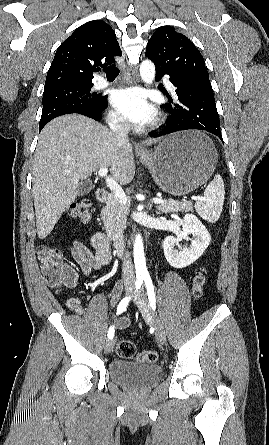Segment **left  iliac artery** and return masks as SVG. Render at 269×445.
I'll list each match as a JSON object with an SVG mask.
<instances>
[{"label":"left iliac artery","mask_w":269,"mask_h":445,"mask_svg":"<svg viewBox=\"0 0 269 445\" xmlns=\"http://www.w3.org/2000/svg\"><path fill=\"white\" fill-rule=\"evenodd\" d=\"M145 286L147 289V295L149 299L150 306L153 310L156 308V298H155V292H154V286L152 283V280L149 275H146L144 277Z\"/></svg>","instance_id":"44dca946"}]
</instances>
